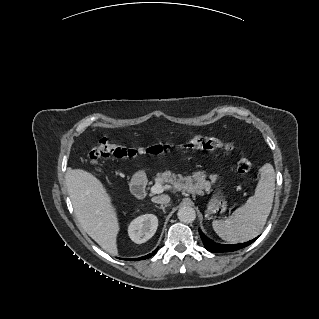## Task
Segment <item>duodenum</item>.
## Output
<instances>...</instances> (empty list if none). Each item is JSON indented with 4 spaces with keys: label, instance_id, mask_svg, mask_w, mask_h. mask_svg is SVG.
I'll return each mask as SVG.
<instances>
[{
    "label": "duodenum",
    "instance_id": "410a0bca",
    "mask_svg": "<svg viewBox=\"0 0 319 319\" xmlns=\"http://www.w3.org/2000/svg\"><path fill=\"white\" fill-rule=\"evenodd\" d=\"M146 192H147V188L144 184L139 183L133 186V193L139 199L144 198L146 196Z\"/></svg>",
    "mask_w": 319,
    "mask_h": 319
}]
</instances>
